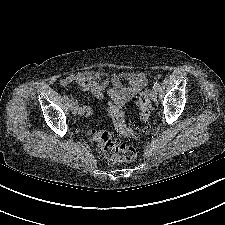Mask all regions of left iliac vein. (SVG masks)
Segmentation results:
<instances>
[{
    "instance_id": "1",
    "label": "left iliac vein",
    "mask_w": 225,
    "mask_h": 225,
    "mask_svg": "<svg viewBox=\"0 0 225 225\" xmlns=\"http://www.w3.org/2000/svg\"><path fill=\"white\" fill-rule=\"evenodd\" d=\"M150 97L152 101H157V90H155L154 88L151 90L150 92Z\"/></svg>"
}]
</instances>
